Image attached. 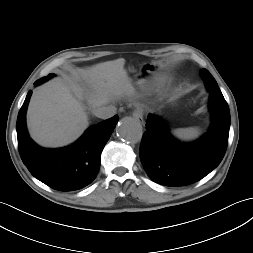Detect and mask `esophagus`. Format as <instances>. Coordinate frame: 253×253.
I'll list each match as a JSON object with an SVG mask.
<instances>
[{
  "instance_id": "obj_1",
  "label": "esophagus",
  "mask_w": 253,
  "mask_h": 253,
  "mask_svg": "<svg viewBox=\"0 0 253 253\" xmlns=\"http://www.w3.org/2000/svg\"><path fill=\"white\" fill-rule=\"evenodd\" d=\"M133 118L140 123H143V113L140 110H136L133 112Z\"/></svg>"
}]
</instances>
